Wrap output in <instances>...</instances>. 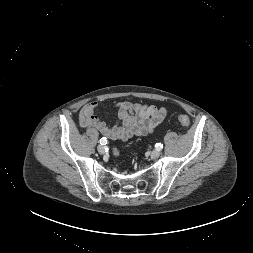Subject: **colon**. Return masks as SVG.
<instances>
[{
    "label": "colon",
    "mask_w": 253,
    "mask_h": 253,
    "mask_svg": "<svg viewBox=\"0 0 253 253\" xmlns=\"http://www.w3.org/2000/svg\"><path fill=\"white\" fill-rule=\"evenodd\" d=\"M178 120L179 122L181 123V125L184 127V128H188L189 125H190V120L188 118V116L184 115V114H179L178 115ZM113 153L114 155L118 156L119 155V152L116 148L113 149Z\"/></svg>",
    "instance_id": "5ec220e1"
}]
</instances>
